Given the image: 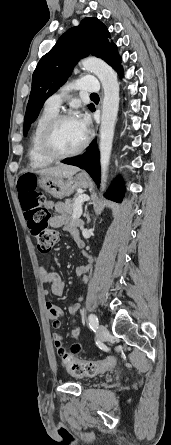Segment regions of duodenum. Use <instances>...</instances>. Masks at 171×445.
Returning <instances> with one entry per match:
<instances>
[{
    "label": "duodenum",
    "mask_w": 171,
    "mask_h": 445,
    "mask_svg": "<svg viewBox=\"0 0 171 445\" xmlns=\"http://www.w3.org/2000/svg\"><path fill=\"white\" fill-rule=\"evenodd\" d=\"M77 242H78V244L80 245V246H82V241L80 240V238H77Z\"/></svg>",
    "instance_id": "1"
}]
</instances>
